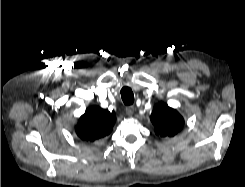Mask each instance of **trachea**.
Here are the masks:
<instances>
[{"mask_svg":"<svg viewBox=\"0 0 245 187\" xmlns=\"http://www.w3.org/2000/svg\"><path fill=\"white\" fill-rule=\"evenodd\" d=\"M121 98L125 105H131L134 102V95L129 87H123L121 89Z\"/></svg>","mask_w":245,"mask_h":187,"instance_id":"3493384b","label":"trachea"}]
</instances>
